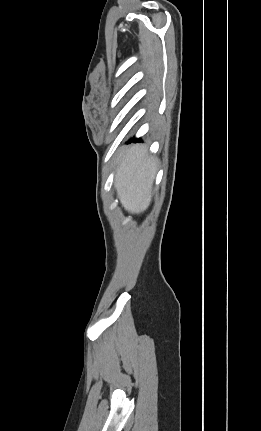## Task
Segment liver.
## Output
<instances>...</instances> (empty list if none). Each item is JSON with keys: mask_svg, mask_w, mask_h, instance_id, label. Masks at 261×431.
Returning a JSON list of instances; mask_svg holds the SVG:
<instances>
[{"mask_svg": "<svg viewBox=\"0 0 261 431\" xmlns=\"http://www.w3.org/2000/svg\"><path fill=\"white\" fill-rule=\"evenodd\" d=\"M118 161L115 187L120 203L128 212L139 214L150 204L157 161L139 144L122 152Z\"/></svg>", "mask_w": 261, "mask_h": 431, "instance_id": "1", "label": "liver"}]
</instances>
